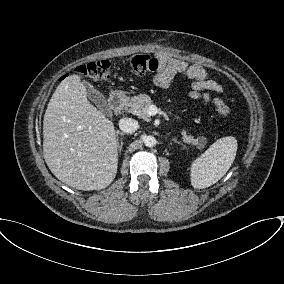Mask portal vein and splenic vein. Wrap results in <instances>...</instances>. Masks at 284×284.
Here are the masks:
<instances>
[{
  "mask_svg": "<svg viewBox=\"0 0 284 284\" xmlns=\"http://www.w3.org/2000/svg\"><path fill=\"white\" fill-rule=\"evenodd\" d=\"M158 112V109L155 105H151L149 108H148V113L150 115H155L156 113Z\"/></svg>",
  "mask_w": 284,
  "mask_h": 284,
  "instance_id": "portal-vein-and-splenic-vein-1",
  "label": "portal vein and splenic vein"
}]
</instances>
